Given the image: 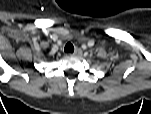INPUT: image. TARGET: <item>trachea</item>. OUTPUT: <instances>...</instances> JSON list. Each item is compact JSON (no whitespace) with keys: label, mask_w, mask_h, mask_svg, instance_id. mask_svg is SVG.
<instances>
[{"label":"trachea","mask_w":151,"mask_h":114,"mask_svg":"<svg viewBox=\"0 0 151 114\" xmlns=\"http://www.w3.org/2000/svg\"><path fill=\"white\" fill-rule=\"evenodd\" d=\"M64 51L66 53H72V52H74V46L72 45V43H67L65 45Z\"/></svg>","instance_id":"1"}]
</instances>
